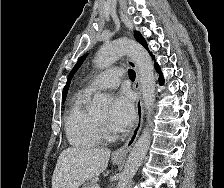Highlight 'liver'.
Listing matches in <instances>:
<instances>
[{"label": "liver", "mask_w": 224, "mask_h": 188, "mask_svg": "<svg viewBox=\"0 0 224 188\" xmlns=\"http://www.w3.org/2000/svg\"><path fill=\"white\" fill-rule=\"evenodd\" d=\"M109 157L110 151L103 148L64 149L53 172L52 188H79L106 169Z\"/></svg>", "instance_id": "1"}]
</instances>
